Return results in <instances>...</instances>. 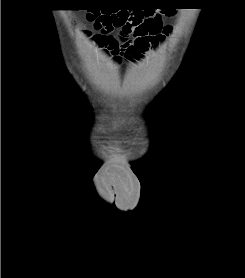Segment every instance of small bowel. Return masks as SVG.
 <instances>
[{"label":"small bowel","instance_id":"obj_1","mask_svg":"<svg viewBox=\"0 0 245 278\" xmlns=\"http://www.w3.org/2000/svg\"><path fill=\"white\" fill-rule=\"evenodd\" d=\"M163 37L164 35L160 36L158 42L161 41ZM102 41L107 47L109 54L112 55L114 59L120 60L122 57H126L131 62L140 61L147 51L155 45L153 40L143 43L137 37L131 42L122 43L114 35L106 36Z\"/></svg>","mask_w":245,"mask_h":278}]
</instances>
